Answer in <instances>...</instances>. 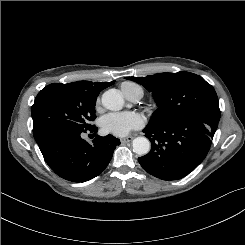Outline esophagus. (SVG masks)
<instances>
[{"mask_svg": "<svg viewBox=\"0 0 245 245\" xmlns=\"http://www.w3.org/2000/svg\"><path fill=\"white\" fill-rule=\"evenodd\" d=\"M133 139L132 136H126V137H122L120 138L121 143H127L130 142Z\"/></svg>", "mask_w": 245, "mask_h": 245, "instance_id": "1", "label": "esophagus"}]
</instances>
